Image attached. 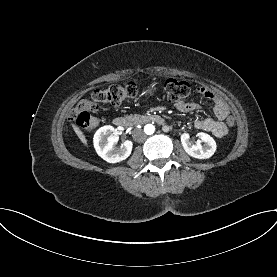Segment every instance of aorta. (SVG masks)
Segmentation results:
<instances>
[{"instance_id":"1","label":"aorta","mask_w":277,"mask_h":277,"mask_svg":"<svg viewBox=\"0 0 277 277\" xmlns=\"http://www.w3.org/2000/svg\"><path fill=\"white\" fill-rule=\"evenodd\" d=\"M155 132V127L152 124H147L144 127V133L147 135H152Z\"/></svg>"}]
</instances>
